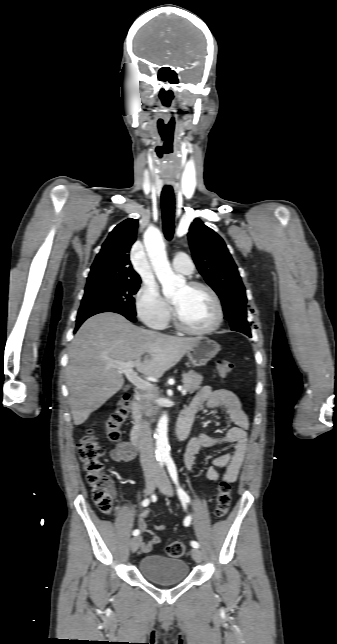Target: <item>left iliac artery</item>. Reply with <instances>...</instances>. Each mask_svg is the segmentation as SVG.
Masks as SVG:
<instances>
[{
  "label": "left iliac artery",
  "instance_id": "left-iliac-artery-1",
  "mask_svg": "<svg viewBox=\"0 0 337 644\" xmlns=\"http://www.w3.org/2000/svg\"><path fill=\"white\" fill-rule=\"evenodd\" d=\"M165 462H166V465H167V468H168V472H169L174 484L176 485L177 493H178V496H179L180 500L182 502L189 503L190 502V497L188 496V494L179 485L177 469H176L174 461L172 460V458L169 457V458L165 459ZM190 523H191V516H187L185 518V520H184V526H189ZM191 546L194 547V548H199V543L196 542V541H191Z\"/></svg>",
  "mask_w": 337,
  "mask_h": 644
}]
</instances>
